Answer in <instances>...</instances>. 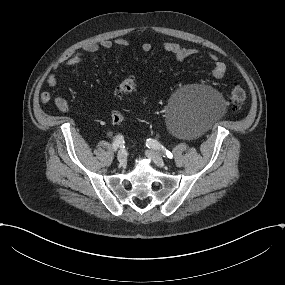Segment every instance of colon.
I'll return each instance as SVG.
<instances>
[{"label":"colon","instance_id":"obj_1","mask_svg":"<svg viewBox=\"0 0 285 285\" xmlns=\"http://www.w3.org/2000/svg\"><path fill=\"white\" fill-rule=\"evenodd\" d=\"M138 89V83L130 78L121 82L115 88V94L118 97H123L129 93H133ZM246 91L242 87H235L229 94L227 104L232 110H239L246 101ZM111 121L114 125H120L124 121L123 113L120 110H114L111 114Z\"/></svg>","mask_w":285,"mask_h":285}]
</instances>
